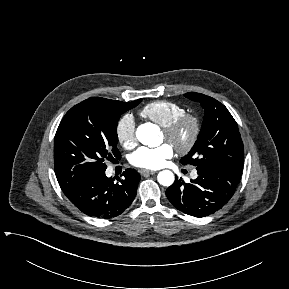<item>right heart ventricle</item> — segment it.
Here are the masks:
<instances>
[{"label":"right heart ventricle","instance_id":"right-heart-ventricle-1","mask_svg":"<svg viewBox=\"0 0 289 289\" xmlns=\"http://www.w3.org/2000/svg\"><path fill=\"white\" fill-rule=\"evenodd\" d=\"M184 113L185 109L182 105L166 100L150 102L140 111V115L142 117L149 119L162 128L169 125L172 121Z\"/></svg>","mask_w":289,"mask_h":289}]
</instances>
